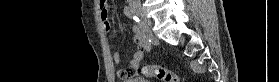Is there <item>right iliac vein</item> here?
<instances>
[{
  "mask_svg": "<svg viewBox=\"0 0 279 82\" xmlns=\"http://www.w3.org/2000/svg\"><path fill=\"white\" fill-rule=\"evenodd\" d=\"M129 5H130L131 9L143 20V22L147 26V28H151L152 22L147 17L146 12L143 10V8L132 1L129 2Z\"/></svg>",
  "mask_w": 279,
  "mask_h": 82,
  "instance_id": "1",
  "label": "right iliac vein"
}]
</instances>
